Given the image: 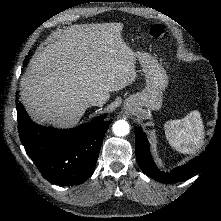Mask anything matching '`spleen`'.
I'll list each match as a JSON object with an SVG mask.
<instances>
[{
	"label": "spleen",
	"instance_id": "spleen-1",
	"mask_svg": "<svg viewBox=\"0 0 221 221\" xmlns=\"http://www.w3.org/2000/svg\"><path fill=\"white\" fill-rule=\"evenodd\" d=\"M169 144L184 154H193L201 148L204 125L199 111H192L181 119L169 120L165 126Z\"/></svg>",
	"mask_w": 221,
	"mask_h": 221
}]
</instances>
